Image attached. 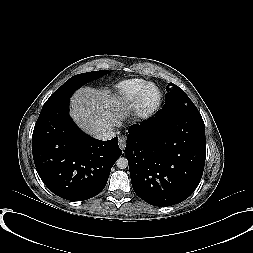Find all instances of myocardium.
Here are the masks:
<instances>
[{"label": "myocardium", "mask_w": 253, "mask_h": 253, "mask_svg": "<svg viewBox=\"0 0 253 253\" xmlns=\"http://www.w3.org/2000/svg\"><path fill=\"white\" fill-rule=\"evenodd\" d=\"M150 88L156 89L158 93L157 100L149 103L146 100V93ZM163 95L160 88L154 83H146L140 90L133 108V115L139 120L150 118L162 103Z\"/></svg>", "instance_id": "f54148a6"}]
</instances>
